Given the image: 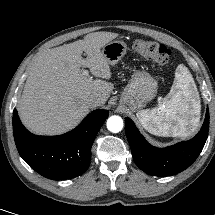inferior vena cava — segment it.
<instances>
[{
	"label": "inferior vena cava",
	"mask_w": 215,
	"mask_h": 215,
	"mask_svg": "<svg viewBox=\"0 0 215 215\" xmlns=\"http://www.w3.org/2000/svg\"><path fill=\"white\" fill-rule=\"evenodd\" d=\"M87 104L89 105L90 108L101 106L102 100L98 97L93 96L87 99Z\"/></svg>",
	"instance_id": "obj_1"
}]
</instances>
